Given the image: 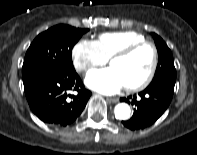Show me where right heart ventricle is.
Segmentation results:
<instances>
[{"label": "right heart ventricle", "mask_w": 197, "mask_h": 155, "mask_svg": "<svg viewBox=\"0 0 197 155\" xmlns=\"http://www.w3.org/2000/svg\"><path fill=\"white\" fill-rule=\"evenodd\" d=\"M144 35L132 30L110 31L101 33L96 42L107 58H110L119 49L141 41Z\"/></svg>", "instance_id": "1"}]
</instances>
